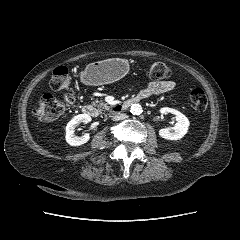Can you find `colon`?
<instances>
[{
  "instance_id": "5ec220e1",
  "label": "colon",
  "mask_w": 240,
  "mask_h": 240,
  "mask_svg": "<svg viewBox=\"0 0 240 240\" xmlns=\"http://www.w3.org/2000/svg\"><path fill=\"white\" fill-rule=\"evenodd\" d=\"M169 67L161 61L154 62L149 68V77L155 81L166 79L170 76ZM50 86L53 90L61 92V97L56 98L46 95L40 102L37 110L48 119H56L63 115L67 108L74 102V95L71 90L70 76L65 66L54 69ZM189 98L195 110L203 113L208 105L206 95L200 87H195L190 91Z\"/></svg>"
}]
</instances>
